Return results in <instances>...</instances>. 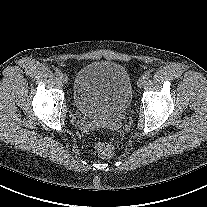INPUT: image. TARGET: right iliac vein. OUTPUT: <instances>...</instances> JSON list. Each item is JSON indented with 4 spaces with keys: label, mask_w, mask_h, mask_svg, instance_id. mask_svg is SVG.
I'll use <instances>...</instances> for the list:
<instances>
[{
    "label": "right iliac vein",
    "mask_w": 207,
    "mask_h": 207,
    "mask_svg": "<svg viewBox=\"0 0 207 207\" xmlns=\"http://www.w3.org/2000/svg\"><path fill=\"white\" fill-rule=\"evenodd\" d=\"M59 78L63 83H65V84L68 83L69 79H68V76L66 74L62 73Z\"/></svg>",
    "instance_id": "1"
}]
</instances>
